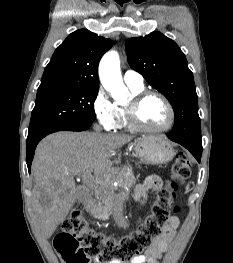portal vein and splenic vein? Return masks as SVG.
I'll use <instances>...</instances> for the list:
<instances>
[{
	"label": "portal vein and splenic vein",
	"mask_w": 233,
	"mask_h": 263,
	"mask_svg": "<svg viewBox=\"0 0 233 263\" xmlns=\"http://www.w3.org/2000/svg\"><path fill=\"white\" fill-rule=\"evenodd\" d=\"M82 180L87 185L93 184V177L90 171L84 172L81 174Z\"/></svg>",
	"instance_id": "obj_1"
}]
</instances>
